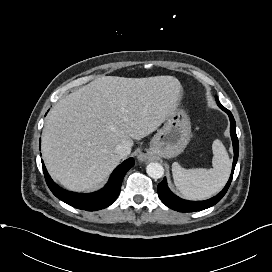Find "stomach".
<instances>
[{
    "label": "stomach",
    "instance_id": "stomach-1",
    "mask_svg": "<svg viewBox=\"0 0 272 272\" xmlns=\"http://www.w3.org/2000/svg\"><path fill=\"white\" fill-rule=\"evenodd\" d=\"M190 138V119L185 110L178 105L152 138L148 154L163 158L176 157L185 150Z\"/></svg>",
    "mask_w": 272,
    "mask_h": 272
}]
</instances>
